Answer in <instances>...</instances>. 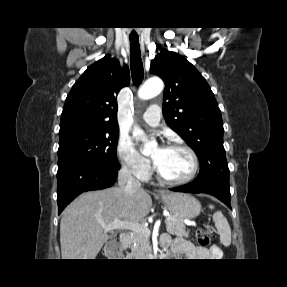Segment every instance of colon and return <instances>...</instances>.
<instances>
[{
	"mask_svg": "<svg viewBox=\"0 0 287 287\" xmlns=\"http://www.w3.org/2000/svg\"><path fill=\"white\" fill-rule=\"evenodd\" d=\"M197 241H198L200 246L206 247V246H209L211 244V237H210L209 233L206 230L201 229V230L198 231ZM110 247L112 248V252L114 254L119 252V246H118L117 243L113 244Z\"/></svg>",
	"mask_w": 287,
	"mask_h": 287,
	"instance_id": "1",
	"label": "colon"
}]
</instances>
